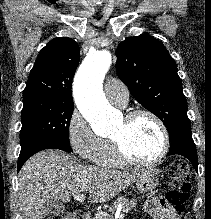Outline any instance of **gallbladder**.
Returning <instances> with one entry per match:
<instances>
[{
  "mask_svg": "<svg viewBox=\"0 0 211 219\" xmlns=\"http://www.w3.org/2000/svg\"><path fill=\"white\" fill-rule=\"evenodd\" d=\"M45 206L54 215H60L65 211L64 205L55 198L48 199Z\"/></svg>",
  "mask_w": 211,
  "mask_h": 219,
  "instance_id": "bac80fb5",
  "label": "gallbladder"
}]
</instances>
